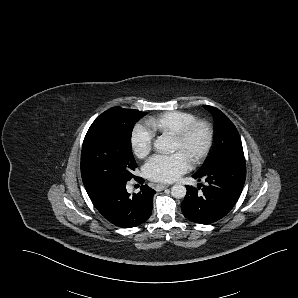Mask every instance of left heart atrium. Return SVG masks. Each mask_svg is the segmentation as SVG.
I'll return each mask as SVG.
<instances>
[{"instance_id":"obj_1","label":"left heart atrium","mask_w":298,"mask_h":298,"mask_svg":"<svg viewBox=\"0 0 298 298\" xmlns=\"http://www.w3.org/2000/svg\"><path fill=\"white\" fill-rule=\"evenodd\" d=\"M186 171V162L178 152L152 156L144 165L143 173L156 182H170Z\"/></svg>"}]
</instances>
